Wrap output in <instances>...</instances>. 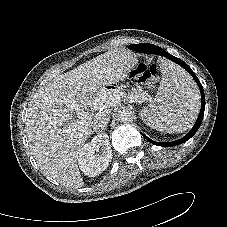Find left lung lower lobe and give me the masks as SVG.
Listing matches in <instances>:
<instances>
[{"mask_svg":"<svg viewBox=\"0 0 227 227\" xmlns=\"http://www.w3.org/2000/svg\"><path fill=\"white\" fill-rule=\"evenodd\" d=\"M130 48L135 50V51L142 52V53H154V54L166 56L167 58L171 59L175 63H177L180 66H182L183 68H185L191 74V76L194 78V80L197 82V84H198V86L200 88V91H201L202 106H201V110H200L198 119H197L194 127L192 128V130L186 136H184L182 139H179L177 141L161 143V142H155V141L151 140L150 138H148L147 136H145L143 133H141L142 136L146 140H148L152 144L158 145V146L169 147V146L179 145L181 143L186 142L187 140H189L197 132V130L199 129V127H200V125L202 123V119H203V116H204L205 96H204L203 87H202L199 79L197 78L195 73L191 70V68L186 63H184L179 58H176L174 56L169 55L166 51H164L162 48H160L158 46H155V45H152V44H147V43H142V44L130 45Z\"/></svg>","mask_w":227,"mask_h":227,"instance_id":"obj_1","label":"left lung lower lobe"}]
</instances>
